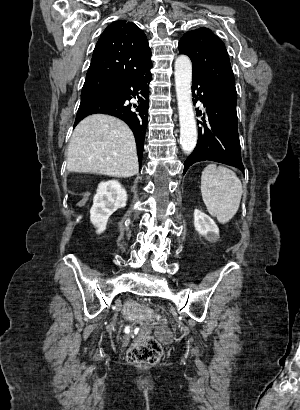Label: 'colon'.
<instances>
[{"mask_svg": "<svg viewBox=\"0 0 300 410\" xmlns=\"http://www.w3.org/2000/svg\"><path fill=\"white\" fill-rule=\"evenodd\" d=\"M125 315L135 320L137 327L148 326L149 330H156L157 323H165V316L150 315V308L145 304L128 301L124 305ZM162 346L154 338L147 336L145 333L138 336L127 352V360L131 364L137 366L154 365L158 363L162 357Z\"/></svg>", "mask_w": 300, "mask_h": 410, "instance_id": "5ec220e1", "label": "colon"}]
</instances>
